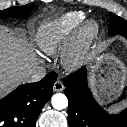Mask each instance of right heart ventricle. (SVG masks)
I'll use <instances>...</instances> for the list:
<instances>
[{
    "instance_id": "1",
    "label": "right heart ventricle",
    "mask_w": 127,
    "mask_h": 127,
    "mask_svg": "<svg viewBox=\"0 0 127 127\" xmlns=\"http://www.w3.org/2000/svg\"><path fill=\"white\" fill-rule=\"evenodd\" d=\"M85 17L81 11H70L43 22L35 37L39 50L47 55L57 54Z\"/></svg>"
}]
</instances>
